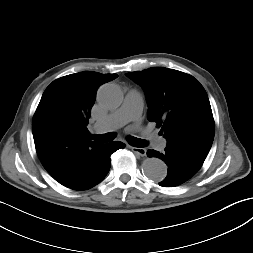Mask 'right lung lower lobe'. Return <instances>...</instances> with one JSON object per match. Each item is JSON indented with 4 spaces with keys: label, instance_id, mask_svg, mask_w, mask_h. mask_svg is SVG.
<instances>
[{
    "label": "right lung lower lobe",
    "instance_id": "obj_1",
    "mask_svg": "<svg viewBox=\"0 0 253 253\" xmlns=\"http://www.w3.org/2000/svg\"><path fill=\"white\" fill-rule=\"evenodd\" d=\"M124 147L125 145L121 142L103 144L95 154L94 165L92 166L90 175L84 181L73 186L71 189L87 190L100 183L109 172L111 166V154Z\"/></svg>",
    "mask_w": 253,
    "mask_h": 253
}]
</instances>
